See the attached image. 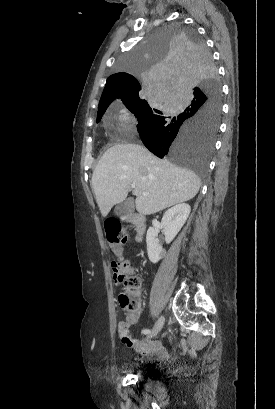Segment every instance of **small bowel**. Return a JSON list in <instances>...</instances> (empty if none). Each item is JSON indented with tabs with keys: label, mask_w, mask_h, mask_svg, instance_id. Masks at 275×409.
Segmentation results:
<instances>
[{
	"label": "small bowel",
	"mask_w": 275,
	"mask_h": 409,
	"mask_svg": "<svg viewBox=\"0 0 275 409\" xmlns=\"http://www.w3.org/2000/svg\"><path fill=\"white\" fill-rule=\"evenodd\" d=\"M112 272L111 278L114 285L117 287L124 285L125 281L122 280L123 274L120 273V269L116 267ZM119 327L122 330L119 335L120 342H122V345L126 347L128 351H133L137 342L136 338L132 337L131 333H128L122 324ZM140 350L142 355L147 359H163L166 353L164 347L157 340H151L141 344Z\"/></svg>",
	"instance_id": "small-bowel-1"
}]
</instances>
